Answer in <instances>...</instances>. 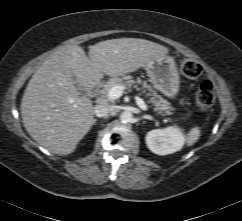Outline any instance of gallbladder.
I'll return each instance as SVG.
<instances>
[{
	"label": "gallbladder",
	"instance_id": "gallbladder-1",
	"mask_svg": "<svg viewBox=\"0 0 242 221\" xmlns=\"http://www.w3.org/2000/svg\"><path fill=\"white\" fill-rule=\"evenodd\" d=\"M73 78V81L75 83V86L77 87L78 91L82 94V95H85L86 94V90L80 86V84L78 83L77 81V78L75 76L72 77Z\"/></svg>",
	"mask_w": 242,
	"mask_h": 221
}]
</instances>
